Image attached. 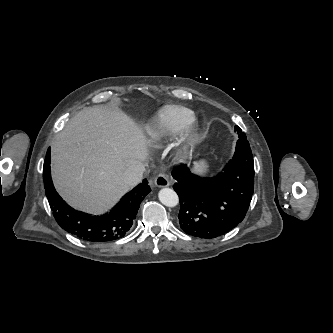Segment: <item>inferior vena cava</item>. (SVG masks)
Instances as JSON below:
<instances>
[{
	"instance_id": "1",
	"label": "inferior vena cava",
	"mask_w": 333,
	"mask_h": 333,
	"mask_svg": "<svg viewBox=\"0 0 333 333\" xmlns=\"http://www.w3.org/2000/svg\"><path fill=\"white\" fill-rule=\"evenodd\" d=\"M144 172L145 165L142 162L134 161L123 173V181L127 186L133 187L142 180Z\"/></svg>"
}]
</instances>
